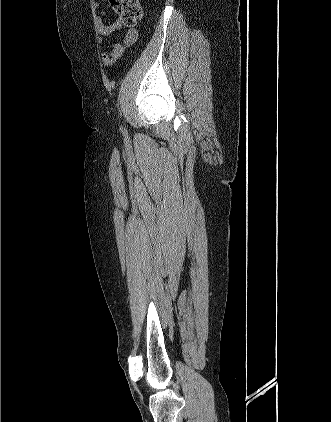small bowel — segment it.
Masks as SVG:
<instances>
[{
    "instance_id": "c3829d8e",
    "label": "small bowel",
    "mask_w": 331,
    "mask_h": 422,
    "mask_svg": "<svg viewBox=\"0 0 331 422\" xmlns=\"http://www.w3.org/2000/svg\"><path fill=\"white\" fill-rule=\"evenodd\" d=\"M94 7L98 10L99 3L94 2ZM122 27L123 22L120 19H116L111 24H106L103 13H98L96 17V30L99 33V42L101 45L106 43V38L109 35L120 30ZM137 35V30L129 29L122 41L114 43L109 50L102 53L103 64L108 67L114 65L123 56L125 49L136 41Z\"/></svg>"
}]
</instances>
